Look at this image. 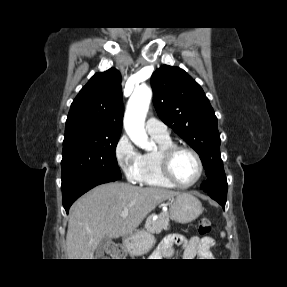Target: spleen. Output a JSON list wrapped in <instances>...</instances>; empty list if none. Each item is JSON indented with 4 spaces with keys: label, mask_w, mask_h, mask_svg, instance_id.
<instances>
[{
    "label": "spleen",
    "mask_w": 287,
    "mask_h": 287,
    "mask_svg": "<svg viewBox=\"0 0 287 287\" xmlns=\"http://www.w3.org/2000/svg\"><path fill=\"white\" fill-rule=\"evenodd\" d=\"M221 236H222V237H224V236H225V233H224V232H222V233H221Z\"/></svg>",
    "instance_id": "3e777b00"
}]
</instances>
